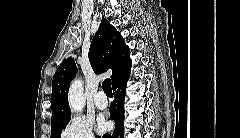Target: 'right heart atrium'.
Listing matches in <instances>:
<instances>
[{
	"label": "right heart atrium",
	"instance_id": "right-heart-atrium-1",
	"mask_svg": "<svg viewBox=\"0 0 240 138\" xmlns=\"http://www.w3.org/2000/svg\"><path fill=\"white\" fill-rule=\"evenodd\" d=\"M61 138H94L92 124L80 117H73L64 126Z\"/></svg>",
	"mask_w": 240,
	"mask_h": 138
}]
</instances>
